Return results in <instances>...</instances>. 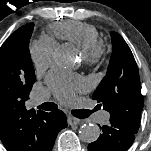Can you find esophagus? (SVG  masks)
I'll return each mask as SVG.
<instances>
[{"label":"esophagus","instance_id":"esophagus-1","mask_svg":"<svg viewBox=\"0 0 151 151\" xmlns=\"http://www.w3.org/2000/svg\"><path fill=\"white\" fill-rule=\"evenodd\" d=\"M68 124L69 125H73V124H79L80 123V119L73 117V116H68Z\"/></svg>","mask_w":151,"mask_h":151}]
</instances>
